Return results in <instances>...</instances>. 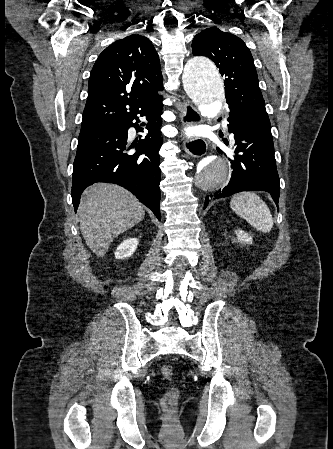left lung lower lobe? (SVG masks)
<instances>
[{
    "instance_id": "obj_1",
    "label": "left lung lower lobe",
    "mask_w": 333,
    "mask_h": 449,
    "mask_svg": "<svg viewBox=\"0 0 333 449\" xmlns=\"http://www.w3.org/2000/svg\"><path fill=\"white\" fill-rule=\"evenodd\" d=\"M228 122L235 139L234 155L229 158L233 173L228 185L210 198L216 200L241 191H266L278 205L280 183L271 126L242 117L234 110H230ZM225 143L228 144L226 140ZM217 151L223 153L220 148ZM208 201L207 196L204 209Z\"/></svg>"
}]
</instances>
